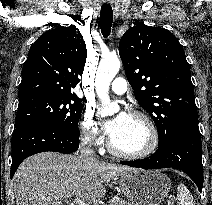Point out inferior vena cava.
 <instances>
[{
  "mask_svg": "<svg viewBox=\"0 0 212 205\" xmlns=\"http://www.w3.org/2000/svg\"><path fill=\"white\" fill-rule=\"evenodd\" d=\"M92 145L93 143L87 137L82 138L79 149L81 157L87 161H96Z\"/></svg>",
  "mask_w": 212,
  "mask_h": 205,
  "instance_id": "1",
  "label": "inferior vena cava"
}]
</instances>
